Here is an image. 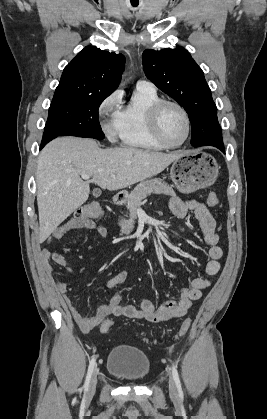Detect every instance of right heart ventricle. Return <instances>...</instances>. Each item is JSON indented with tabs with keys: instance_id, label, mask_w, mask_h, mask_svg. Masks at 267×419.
Returning <instances> with one entry per match:
<instances>
[{
	"instance_id": "1",
	"label": "right heart ventricle",
	"mask_w": 267,
	"mask_h": 419,
	"mask_svg": "<svg viewBox=\"0 0 267 419\" xmlns=\"http://www.w3.org/2000/svg\"><path fill=\"white\" fill-rule=\"evenodd\" d=\"M159 100L155 89L136 88L131 100L118 110L117 135L123 145L144 150L164 149L154 139L148 125L149 109Z\"/></svg>"
}]
</instances>
